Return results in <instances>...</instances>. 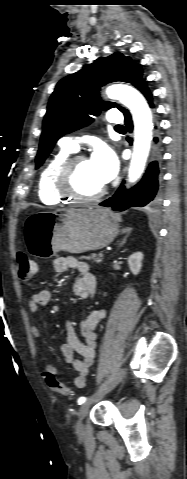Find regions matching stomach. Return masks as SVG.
Wrapping results in <instances>:
<instances>
[{
  "mask_svg": "<svg viewBox=\"0 0 187 479\" xmlns=\"http://www.w3.org/2000/svg\"><path fill=\"white\" fill-rule=\"evenodd\" d=\"M119 233L111 212L100 207L39 211L27 217L24 239L28 252L47 259L59 251L81 253L109 245Z\"/></svg>",
  "mask_w": 187,
  "mask_h": 479,
  "instance_id": "obj_1",
  "label": "stomach"
}]
</instances>
